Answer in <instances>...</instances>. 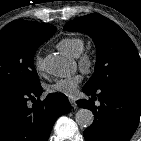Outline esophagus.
<instances>
[{
    "label": "esophagus",
    "mask_w": 141,
    "mask_h": 141,
    "mask_svg": "<svg viewBox=\"0 0 141 141\" xmlns=\"http://www.w3.org/2000/svg\"><path fill=\"white\" fill-rule=\"evenodd\" d=\"M69 102H70L72 107H74V108L76 107V100L74 98L69 97Z\"/></svg>",
    "instance_id": "34e87169"
}]
</instances>
